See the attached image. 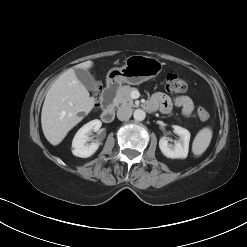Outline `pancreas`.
Returning a JSON list of instances; mask_svg holds the SVG:
<instances>
[{
	"mask_svg": "<svg viewBox=\"0 0 247 247\" xmlns=\"http://www.w3.org/2000/svg\"><path fill=\"white\" fill-rule=\"evenodd\" d=\"M135 90V88L130 86H122L116 92V97L114 99L115 105H127L130 107H135L133 103V99L131 97V92Z\"/></svg>",
	"mask_w": 247,
	"mask_h": 247,
	"instance_id": "cf45deb5",
	"label": "pancreas"
}]
</instances>
